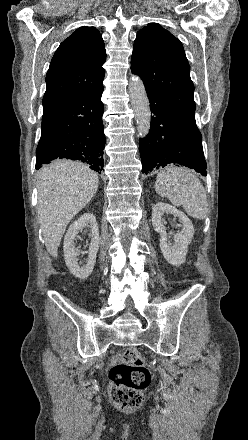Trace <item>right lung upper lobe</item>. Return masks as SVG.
Here are the masks:
<instances>
[{"label": "right lung upper lobe", "instance_id": "right-lung-upper-lobe-1", "mask_svg": "<svg viewBox=\"0 0 248 440\" xmlns=\"http://www.w3.org/2000/svg\"><path fill=\"white\" fill-rule=\"evenodd\" d=\"M106 50L95 27H80L56 50L46 75L43 107L103 87Z\"/></svg>", "mask_w": 248, "mask_h": 440}]
</instances>
